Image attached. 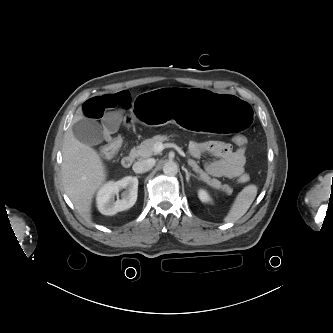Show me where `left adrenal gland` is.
I'll use <instances>...</instances> for the list:
<instances>
[{
  "instance_id": "left-adrenal-gland-1",
  "label": "left adrenal gland",
  "mask_w": 333,
  "mask_h": 333,
  "mask_svg": "<svg viewBox=\"0 0 333 333\" xmlns=\"http://www.w3.org/2000/svg\"><path fill=\"white\" fill-rule=\"evenodd\" d=\"M182 170H184V172L186 174V181H187V183H189L190 177H194V178H196V179L199 180V178L197 176H195L194 174H192L191 172H189L186 168L183 167Z\"/></svg>"
}]
</instances>
